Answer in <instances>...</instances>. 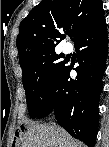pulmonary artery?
Masks as SVG:
<instances>
[{"label": "pulmonary artery", "mask_w": 109, "mask_h": 147, "mask_svg": "<svg viewBox=\"0 0 109 147\" xmlns=\"http://www.w3.org/2000/svg\"><path fill=\"white\" fill-rule=\"evenodd\" d=\"M63 51L65 54H69L72 52V48L69 45H65Z\"/></svg>", "instance_id": "pulmonary-artery-1"}]
</instances>
